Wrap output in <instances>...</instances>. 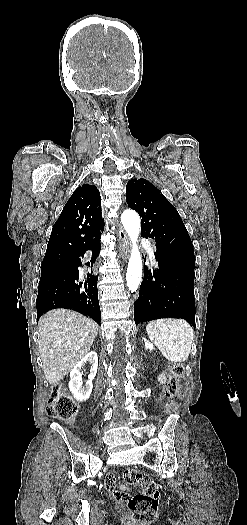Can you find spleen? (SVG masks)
Wrapping results in <instances>:
<instances>
[{"label":"spleen","mask_w":247,"mask_h":525,"mask_svg":"<svg viewBox=\"0 0 247 525\" xmlns=\"http://www.w3.org/2000/svg\"><path fill=\"white\" fill-rule=\"evenodd\" d=\"M147 335L161 355L171 363L187 361L194 339V331L184 319H157L146 327Z\"/></svg>","instance_id":"3e777b00"}]
</instances>
